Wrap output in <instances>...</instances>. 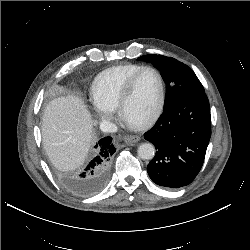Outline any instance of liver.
<instances>
[{
  "label": "liver",
  "instance_id": "1",
  "mask_svg": "<svg viewBox=\"0 0 250 250\" xmlns=\"http://www.w3.org/2000/svg\"><path fill=\"white\" fill-rule=\"evenodd\" d=\"M91 115L76 95L53 99L45 108L43 145L52 164L61 171L81 166L92 140Z\"/></svg>",
  "mask_w": 250,
  "mask_h": 250
}]
</instances>
